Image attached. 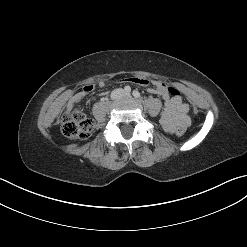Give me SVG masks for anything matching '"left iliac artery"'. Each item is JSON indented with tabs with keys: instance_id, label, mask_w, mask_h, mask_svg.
Wrapping results in <instances>:
<instances>
[{
	"instance_id": "obj_1",
	"label": "left iliac artery",
	"mask_w": 247,
	"mask_h": 247,
	"mask_svg": "<svg viewBox=\"0 0 247 247\" xmlns=\"http://www.w3.org/2000/svg\"><path fill=\"white\" fill-rule=\"evenodd\" d=\"M132 94L136 98H139L140 97V93L137 90H134Z\"/></svg>"
}]
</instances>
